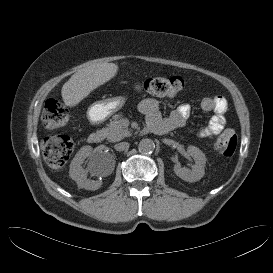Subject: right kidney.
I'll return each instance as SVG.
<instances>
[{
    "mask_svg": "<svg viewBox=\"0 0 273 273\" xmlns=\"http://www.w3.org/2000/svg\"><path fill=\"white\" fill-rule=\"evenodd\" d=\"M92 154V147L91 146H84L82 147L75 157L73 158L70 164L69 176L77 183V185L81 188L95 190L96 187L87 180L86 172L84 171L82 164L85 159ZM91 169L94 167H99L100 163L97 160H92Z\"/></svg>",
    "mask_w": 273,
    "mask_h": 273,
    "instance_id": "1",
    "label": "right kidney"
}]
</instances>
